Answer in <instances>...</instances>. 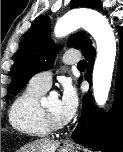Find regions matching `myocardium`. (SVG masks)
Returning a JSON list of instances; mask_svg holds the SVG:
<instances>
[{
	"instance_id": "obj_1",
	"label": "myocardium",
	"mask_w": 123,
	"mask_h": 152,
	"mask_svg": "<svg viewBox=\"0 0 123 152\" xmlns=\"http://www.w3.org/2000/svg\"><path fill=\"white\" fill-rule=\"evenodd\" d=\"M41 112L44 121L50 130L52 131L60 130L66 125L65 121L60 120L54 117L53 115H51L45 107H41Z\"/></svg>"
}]
</instances>
